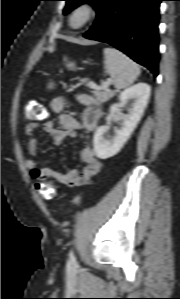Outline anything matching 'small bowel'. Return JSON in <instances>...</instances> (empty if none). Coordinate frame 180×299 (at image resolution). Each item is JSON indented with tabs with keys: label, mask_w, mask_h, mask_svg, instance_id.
<instances>
[{
	"label": "small bowel",
	"mask_w": 180,
	"mask_h": 299,
	"mask_svg": "<svg viewBox=\"0 0 180 299\" xmlns=\"http://www.w3.org/2000/svg\"><path fill=\"white\" fill-rule=\"evenodd\" d=\"M77 99L87 106L82 114L81 120H77L65 112L66 99L63 96H57L51 101V110L57 117L58 126L54 121L48 120L42 123V128L51 136L56 146L63 145L67 141L75 138L79 130L93 132L98 126L101 116L99 105L88 95H79ZM38 125L37 121H31L26 125V133L29 136L27 148L31 156H36L39 152L38 140L33 136V132ZM80 157L84 163V167L81 171L70 169L62 173L52 168L39 167L34 160H28L26 166L31 176L36 180L52 178L65 186L79 187L87 184L99 173L102 167L100 159L96 157L91 146L83 147L80 152Z\"/></svg>",
	"instance_id": "small-bowel-1"
}]
</instances>
